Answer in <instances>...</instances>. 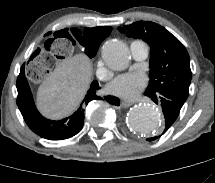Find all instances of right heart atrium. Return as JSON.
Segmentation results:
<instances>
[{"instance_id":"d8ad5b80","label":"right heart atrium","mask_w":215,"mask_h":183,"mask_svg":"<svg viewBox=\"0 0 215 183\" xmlns=\"http://www.w3.org/2000/svg\"><path fill=\"white\" fill-rule=\"evenodd\" d=\"M97 75L102 80H108L111 76L110 72H108L101 62L97 65Z\"/></svg>"}]
</instances>
